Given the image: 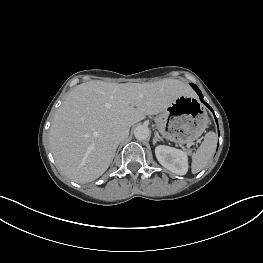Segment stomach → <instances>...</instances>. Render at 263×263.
<instances>
[{"instance_id":"stomach-1","label":"stomach","mask_w":263,"mask_h":263,"mask_svg":"<svg viewBox=\"0 0 263 263\" xmlns=\"http://www.w3.org/2000/svg\"><path fill=\"white\" fill-rule=\"evenodd\" d=\"M163 137L178 143L197 139L205 131L209 117L198 100L191 95L175 99L155 119Z\"/></svg>"}]
</instances>
